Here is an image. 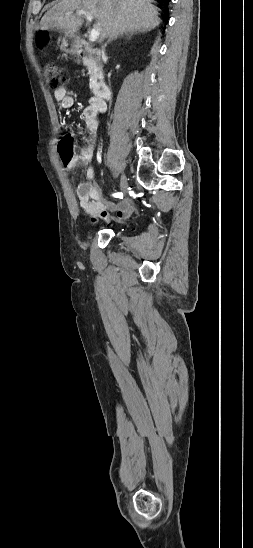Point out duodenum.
<instances>
[{
	"label": "duodenum",
	"instance_id": "1",
	"mask_svg": "<svg viewBox=\"0 0 253 548\" xmlns=\"http://www.w3.org/2000/svg\"><path fill=\"white\" fill-rule=\"evenodd\" d=\"M77 54L83 59H98L101 56L99 49L91 48L85 43L77 44ZM94 93L101 99H109L111 97V90L105 83L99 82L94 87Z\"/></svg>",
	"mask_w": 253,
	"mask_h": 548
}]
</instances>
